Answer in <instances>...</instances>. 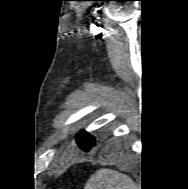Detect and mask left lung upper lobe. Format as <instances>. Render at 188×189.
<instances>
[{
  "instance_id": "5c2ea615",
  "label": "left lung upper lobe",
  "mask_w": 188,
  "mask_h": 189,
  "mask_svg": "<svg viewBox=\"0 0 188 189\" xmlns=\"http://www.w3.org/2000/svg\"><path fill=\"white\" fill-rule=\"evenodd\" d=\"M76 141L79 146L85 150H90L91 147L95 145V138L86 131H81L77 135Z\"/></svg>"
}]
</instances>
